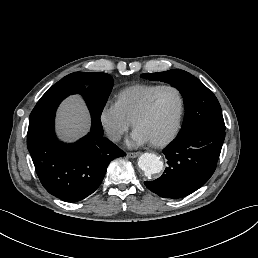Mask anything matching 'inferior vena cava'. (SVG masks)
Listing matches in <instances>:
<instances>
[{
    "label": "inferior vena cava",
    "instance_id": "1",
    "mask_svg": "<svg viewBox=\"0 0 258 258\" xmlns=\"http://www.w3.org/2000/svg\"><path fill=\"white\" fill-rule=\"evenodd\" d=\"M106 133L109 139L112 141H119L121 139V135L117 132H115L113 129H106Z\"/></svg>",
    "mask_w": 258,
    "mask_h": 258
}]
</instances>
